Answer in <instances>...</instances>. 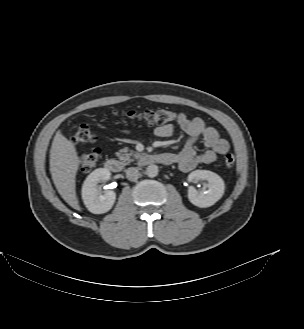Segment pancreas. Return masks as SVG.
Wrapping results in <instances>:
<instances>
[{
	"instance_id": "1",
	"label": "pancreas",
	"mask_w": 304,
	"mask_h": 329,
	"mask_svg": "<svg viewBox=\"0 0 304 329\" xmlns=\"http://www.w3.org/2000/svg\"><path fill=\"white\" fill-rule=\"evenodd\" d=\"M116 156L123 161L124 164H128L131 161L142 157L141 153L135 152V151H128L127 148L120 149L118 152H116Z\"/></svg>"
}]
</instances>
